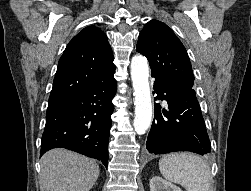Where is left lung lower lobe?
I'll return each instance as SVG.
<instances>
[{"instance_id":"0a47b994","label":"left lung lower lobe","mask_w":251,"mask_h":191,"mask_svg":"<svg viewBox=\"0 0 251 191\" xmlns=\"http://www.w3.org/2000/svg\"><path fill=\"white\" fill-rule=\"evenodd\" d=\"M151 76L155 78V100H166L168 106L162 109L155 104L154 121L146 143L149 153H210V140L193 88L173 85L153 73Z\"/></svg>"}]
</instances>
